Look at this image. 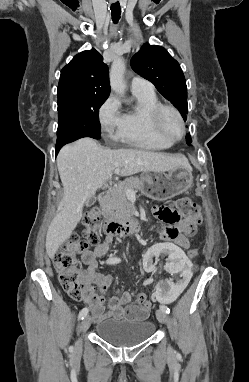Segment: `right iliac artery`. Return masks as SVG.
Segmentation results:
<instances>
[{
	"instance_id": "82829eb1",
	"label": "right iliac artery",
	"mask_w": 249,
	"mask_h": 382,
	"mask_svg": "<svg viewBox=\"0 0 249 382\" xmlns=\"http://www.w3.org/2000/svg\"><path fill=\"white\" fill-rule=\"evenodd\" d=\"M109 264H116L120 262L119 258H112L107 261ZM88 314V308H83L78 315V319L83 320Z\"/></svg>"
}]
</instances>
